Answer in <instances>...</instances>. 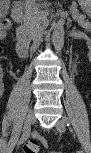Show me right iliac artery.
Masks as SVG:
<instances>
[{
  "mask_svg": "<svg viewBox=\"0 0 91 153\" xmlns=\"http://www.w3.org/2000/svg\"><path fill=\"white\" fill-rule=\"evenodd\" d=\"M30 136V132H23L20 140L18 141V145H21L27 138Z\"/></svg>",
  "mask_w": 91,
  "mask_h": 153,
  "instance_id": "1",
  "label": "right iliac artery"
}]
</instances>
